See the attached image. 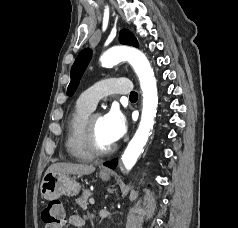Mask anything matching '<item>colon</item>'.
Masks as SVG:
<instances>
[{
	"mask_svg": "<svg viewBox=\"0 0 238 228\" xmlns=\"http://www.w3.org/2000/svg\"><path fill=\"white\" fill-rule=\"evenodd\" d=\"M42 221L45 225L62 224L65 219V212L59 200L51 201L42 211Z\"/></svg>",
	"mask_w": 238,
	"mask_h": 228,
	"instance_id": "5ec220e1",
	"label": "colon"
}]
</instances>
